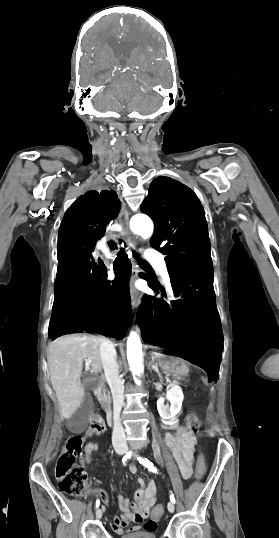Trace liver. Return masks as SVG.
Wrapping results in <instances>:
<instances>
[{
  "label": "liver",
  "mask_w": 279,
  "mask_h": 538,
  "mask_svg": "<svg viewBox=\"0 0 279 538\" xmlns=\"http://www.w3.org/2000/svg\"><path fill=\"white\" fill-rule=\"evenodd\" d=\"M101 342H106L105 338L69 334L49 344L47 362L50 380L61 406L62 418H71L83 402L85 390L80 380L83 360H91L92 372H101Z\"/></svg>",
  "instance_id": "6515ba94"
}]
</instances>
